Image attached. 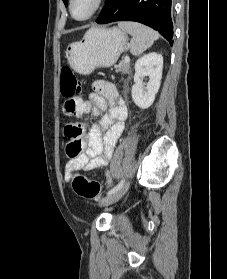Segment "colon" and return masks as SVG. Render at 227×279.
I'll return each instance as SVG.
<instances>
[{
  "instance_id": "colon-1",
  "label": "colon",
  "mask_w": 227,
  "mask_h": 279,
  "mask_svg": "<svg viewBox=\"0 0 227 279\" xmlns=\"http://www.w3.org/2000/svg\"><path fill=\"white\" fill-rule=\"evenodd\" d=\"M61 93L66 99L64 104V113L67 116H74L79 107L78 93L81 89V82L75 73L69 68L61 69ZM80 133L78 128L68 125L65 127V135L70 140ZM80 153V145L77 142L70 141L66 145V154L70 158H75ZM72 186L75 193L85 200H94L101 193V184L98 181L88 179L86 176L76 174L72 177Z\"/></svg>"
}]
</instances>
